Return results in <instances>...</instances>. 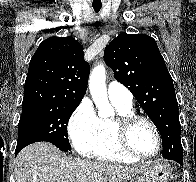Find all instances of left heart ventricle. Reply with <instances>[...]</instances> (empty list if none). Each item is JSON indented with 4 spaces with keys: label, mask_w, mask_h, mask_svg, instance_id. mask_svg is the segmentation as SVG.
<instances>
[{
    "label": "left heart ventricle",
    "mask_w": 196,
    "mask_h": 182,
    "mask_svg": "<svg viewBox=\"0 0 196 182\" xmlns=\"http://www.w3.org/2000/svg\"><path fill=\"white\" fill-rule=\"evenodd\" d=\"M129 142L131 147L142 155H151L157 146L152 128L143 121L132 126L129 132Z\"/></svg>",
    "instance_id": "left-heart-ventricle-1"
}]
</instances>
